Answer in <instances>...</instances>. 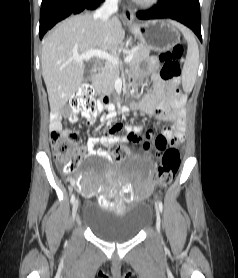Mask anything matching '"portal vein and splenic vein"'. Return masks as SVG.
<instances>
[{"label": "portal vein and splenic vein", "mask_w": 238, "mask_h": 278, "mask_svg": "<svg viewBox=\"0 0 238 278\" xmlns=\"http://www.w3.org/2000/svg\"><path fill=\"white\" fill-rule=\"evenodd\" d=\"M133 56H134V54L130 53L129 55H127L125 57L124 62L129 63L133 59ZM93 57L106 60L115 66H119V60L117 57H115L105 51H102L100 49H94V50L87 51L80 56H74V59L76 61H83V60H87V59H90Z\"/></svg>", "instance_id": "18ae733b"}]
</instances>
